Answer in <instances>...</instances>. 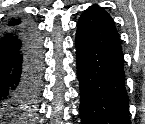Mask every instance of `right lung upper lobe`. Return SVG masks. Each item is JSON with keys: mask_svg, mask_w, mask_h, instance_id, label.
I'll return each instance as SVG.
<instances>
[{"mask_svg": "<svg viewBox=\"0 0 145 124\" xmlns=\"http://www.w3.org/2000/svg\"><path fill=\"white\" fill-rule=\"evenodd\" d=\"M20 25H22V21L20 19H11L5 24L6 27H15Z\"/></svg>", "mask_w": 145, "mask_h": 124, "instance_id": "obj_1", "label": "right lung upper lobe"}]
</instances>
